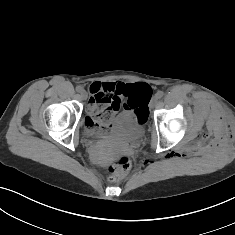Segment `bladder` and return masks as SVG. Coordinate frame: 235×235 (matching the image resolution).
<instances>
[{
  "mask_svg": "<svg viewBox=\"0 0 235 235\" xmlns=\"http://www.w3.org/2000/svg\"><path fill=\"white\" fill-rule=\"evenodd\" d=\"M86 134L90 137L99 135V133L86 128ZM107 134L113 137L125 140L136 141L141 139L145 134V125L137 115L121 114L115 116L108 124Z\"/></svg>",
  "mask_w": 235,
  "mask_h": 235,
  "instance_id": "bladder-1",
  "label": "bladder"
}]
</instances>
